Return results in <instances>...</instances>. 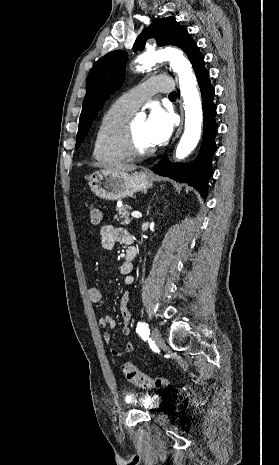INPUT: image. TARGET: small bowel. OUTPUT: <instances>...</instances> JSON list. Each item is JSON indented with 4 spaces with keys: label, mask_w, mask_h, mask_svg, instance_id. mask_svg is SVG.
<instances>
[{
    "label": "small bowel",
    "mask_w": 279,
    "mask_h": 465,
    "mask_svg": "<svg viewBox=\"0 0 279 465\" xmlns=\"http://www.w3.org/2000/svg\"><path fill=\"white\" fill-rule=\"evenodd\" d=\"M99 237L101 245L106 250H112L117 243L125 244L128 247L133 246V238L131 235L124 229L115 227L112 225H105L100 229ZM136 250V249H135ZM133 268L132 261H125L120 267V272L125 276L126 283L130 284L133 281L131 276V271ZM89 299L93 303H98L102 300V291L99 287L94 286L88 290ZM121 314L124 318V326L122 327V334L126 337L130 335V314L126 307V301H123L121 304ZM98 324L101 328L106 329L104 333V341L106 343L111 342L110 330L116 326V321L112 316L106 315L102 316L98 320ZM134 349V346L131 342H127L124 346V350L113 348L111 349V354L115 357L122 356L124 353H130Z\"/></svg>",
    "instance_id": "1"
}]
</instances>
